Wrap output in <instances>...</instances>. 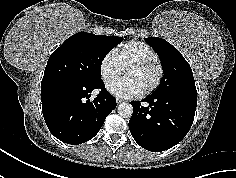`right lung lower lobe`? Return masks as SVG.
<instances>
[{
  "label": "right lung lower lobe",
  "instance_id": "obj_1",
  "mask_svg": "<svg viewBox=\"0 0 236 178\" xmlns=\"http://www.w3.org/2000/svg\"><path fill=\"white\" fill-rule=\"evenodd\" d=\"M94 89L101 91L90 101ZM41 102L50 132L60 141L72 145L92 139L116 107V99L105 89L103 82L88 85L61 79L42 81Z\"/></svg>",
  "mask_w": 236,
  "mask_h": 178
}]
</instances>
